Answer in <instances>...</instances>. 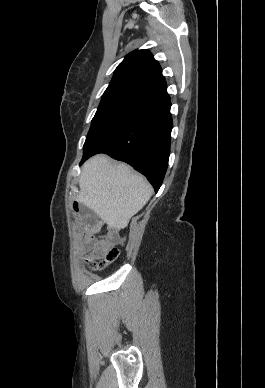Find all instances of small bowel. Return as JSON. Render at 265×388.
Returning a JSON list of instances; mask_svg holds the SVG:
<instances>
[{
	"label": "small bowel",
	"mask_w": 265,
	"mask_h": 388,
	"mask_svg": "<svg viewBox=\"0 0 265 388\" xmlns=\"http://www.w3.org/2000/svg\"><path fill=\"white\" fill-rule=\"evenodd\" d=\"M83 225L87 231V235L81 249L88 253V259L91 261L103 257L118 240V230L113 223L107 225V235L104 238H97L95 236L100 232L103 222L99 221L94 215H86L83 219Z\"/></svg>",
	"instance_id": "obj_1"
}]
</instances>
